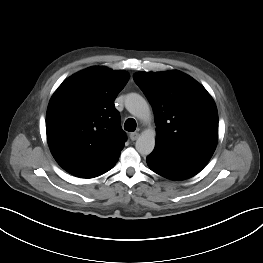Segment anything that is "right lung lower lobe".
Segmentation results:
<instances>
[{
	"label": "right lung lower lobe",
	"mask_w": 263,
	"mask_h": 263,
	"mask_svg": "<svg viewBox=\"0 0 263 263\" xmlns=\"http://www.w3.org/2000/svg\"><path fill=\"white\" fill-rule=\"evenodd\" d=\"M117 162V161H116ZM115 162V163H116ZM115 163H113L112 165H110L108 168L104 169L103 171L99 172V173H96V174H93V175H90V176H87L85 178H93V177H97V176H100L102 174H104L105 172L109 171L114 165Z\"/></svg>",
	"instance_id": "1"
}]
</instances>
